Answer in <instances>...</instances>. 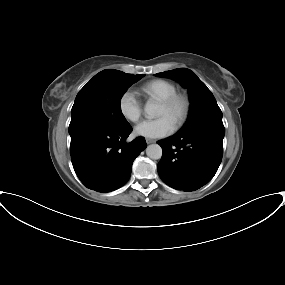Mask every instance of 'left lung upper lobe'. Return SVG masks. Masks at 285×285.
<instances>
[{"label":"left lung upper lobe","instance_id":"1","mask_svg":"<svg viewBox=\"0 0 285 285\" xmlns=\"http://www.w3.org/2000/svg\"><path fill=\"white\" fill-rule=\"evenodd\" d=\"M156 75L174 79L188 88L191 101L190 114L180 132H188L205 123L223 125L222 112L213 94L191 70L179 68L161 72Z\"/></svg>","mask_w":285,"mask_h":285}]
</instances>
